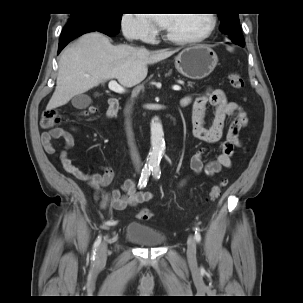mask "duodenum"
Listing matches in <instances>:
<instances>
[{
	"label": "duodenum",
	"mask_w": 303,
	"mask_h": 303,
	"mask_svg": "<svg viewBox=\"0 0 303 303\" xmlns=\"http://www.w3.org/2000/svg\"><path fill=\"white\" fill-rule=\"evenodd\" d=\"M119 108H120V103H119L118 99L110 98L107 116L109 118H113L119 111Z\"/></svg>",
	"instance_id": "410a0bca"
}]
</instances>
